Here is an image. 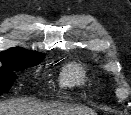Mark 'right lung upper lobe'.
Here are the masks:
<instances>
[{
  "label": "right lung upper lobe",
  "mask_w": 131,
  "mask_h": 115,
  "mask_svg": "<svg viewBox=\"0 0 131 115\" xmlns=\"http://www.w3.org/2000/svg\"><path fill=\"white\" fill-rule=\"evenodd\" d=\"M25 56H43L40 53L37 52H31L22 48H11L7 51L0 53V60L2 61L3 66L0 69H6L10 66V64L14 61H16L19 58L25 57Z\"/></svg>",
  "instance_id": "1"
}]
</instances>
